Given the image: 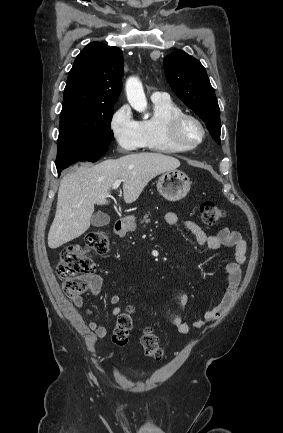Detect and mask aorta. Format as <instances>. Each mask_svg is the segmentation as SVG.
<instances>
[{"label":"aorta","mask_w":283,"mask_h":433,"mask_svg":"<svg viewBox=\"0 0 283 433\" xmlns=\"http://www.w3.org/2000/svg\"><path fill=\"white\" fill-rule=\"evenodd\" d=\"M126 95L130 105L138 112L147 108V99L141 81L137 77H129L126 81ZM149 116L148 114L146 115Z\"/></svg>","instance_id":"aorta-1"}]
</instances>
